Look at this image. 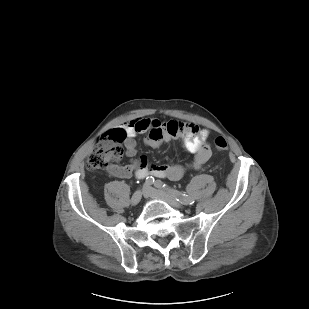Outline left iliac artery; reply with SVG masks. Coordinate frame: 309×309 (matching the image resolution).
Returning a JSON list of instances; mask_svg holds the SVG:
<instances>
[{
    "mask_svg": "<svg viewBox=\"0 0 309 309\" xmlns=\"http://www.w3.org/2000/svg\"><path fill=\"white\" fill-rule=\"evenodd\" d=\"M154 186L156 188L162 189L164 191H166L168 194H170L171 196H173L174 198H176L177 201L181 202L184 205H188V204H193L194 200L189 197L188 195L181 193L173 188H171L170 186H168L167 184H165L164 182H162L161 180H156L154 183Z\"/></svg>",
    "mask_w": 309,
    "mask_h": 309,
    "instance_id": "44dca946",
    "label": "left iliac artery"
}]
</instances>
